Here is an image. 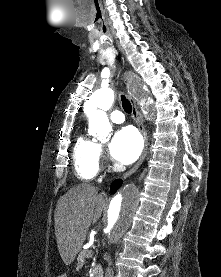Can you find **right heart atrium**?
Wrapping results in <instances>:
<instances>
[{
    "mask_svg": "<svg viewBox=\"0 0 221 277\" xmlns=\"http://www.w3.org/2000/svg\"><path fill=\"white\" fill-rule=\"evenodd\" d=\"M99 152H100V155H101L102 154V149L101 148L99 149Z\"/></svg>",
    "mask_w": 221,
    "mask_h": 277,
    "instance_id": "obj_1",
    "label": "right heart atrium"
}]
</instances>
